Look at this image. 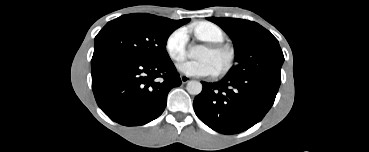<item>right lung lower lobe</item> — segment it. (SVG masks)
I'll list each match as a JSON object with an SVG mask.
<instances>
[{
	"label": "right lung lower lobe",
	"mask_w": 369,
	"mask_h": 152,
	"mask_svg": "<svg viewBox=\"0 0 369 152\" xmlns=\"http://www.w3.org/2000/svg\"><path fill=\"white\" fill-rule=\"evenodd\" d=\"M181 84L170 58L143 62L111 58L92 65V89L100 109L113 121L144 125L164 111L168 92Z\"/></svg>",
	"instance_id": "1"
}]
</instances>
